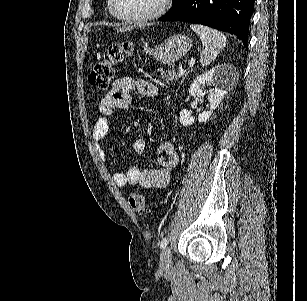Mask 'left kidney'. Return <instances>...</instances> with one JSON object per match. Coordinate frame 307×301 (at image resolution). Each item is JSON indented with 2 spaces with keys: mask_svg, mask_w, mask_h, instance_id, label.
<instances>
[{
  "mask_svg": "<svg viewBox=\"0 0 307 301\" xmlns=\"http://www.w3.org/2000/svg\"><path fill=\"white\" fill-rule=\"evenodd\" d=\"M237 78L238 70L233 64H217V66H213V68H210L207 72H203V74L196 76L190 84L189 96H187L185 100L188 102L190 96H203V94L207 92L210 110L200 112L197 118H195V116H192L191 110L182 108L179 114L181 124H183V126H188V124H194L196 120H198V122H206V120H209L213 110L219 106L220 102H222V98H224L225 94L230 90L231 86L236 84ZM205 86H213V88L204 90Z\"/></svg>",
  "mask_w": 307,
  "mask_h": 301,
  "instance_id": "obj_1",
  "label": "left kidney"
}]
</instances>
